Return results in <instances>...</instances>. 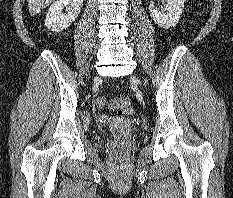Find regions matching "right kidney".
<instances>
[{
	"instance_id": "1",
	"label": "right kidney",
	"mask_w": 233,
	"mask_h": 198,
	"mask_svg": "<svg viewBox=\"0 0 233 198\" xmlns=\"http://www.w3.org/2000/svg\"><path fill=\"white\" fill-rule=\"evenodd\" d=\"M83 0H56L49 8L45 19L48 29L60 32L68 28L81 11ZM67 8V14L63 8Z\"/></svg>"
}]
</instances>
